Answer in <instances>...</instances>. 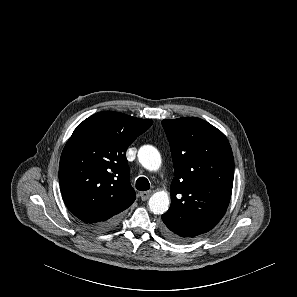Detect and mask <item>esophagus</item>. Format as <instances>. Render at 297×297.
<instances>
[{
	"label": "esophagus",
	"mask_w": 297,
	"mask_h": 297,
	"mask_svg": "<svg viewBox=\"0 0 297 297\" xmlns=\"http://www.w3.org/2000/svg\"><path fill=\"white\" fill-rule=\"evenodd\" d=\"M152 192L151 191H144L140 193V198L143 201H146L150 196H151Z\"/></svg>",
	"instance_id": "1"
}]
</instances>
